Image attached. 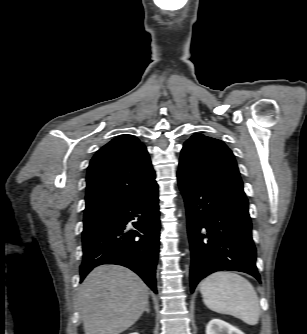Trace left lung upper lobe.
I'll return each mask as SVG.
<instances>
[{"instance_id": "left-lung-upper-lobe-1", "label": "left lung upper lobe", "mask_w": 307, "mask_h": 334, "mask_svg": "<svg viewBox=\"0 0 307 334\" xmlns=\"http://www.w3.org/2000/svg\"><path fill=\"white\" fill-rule=\"evenodd\" d=\"M178 172L243 189L232 151L221 140L203 134H194L184 143Z\"/></svg>"}]
</instances>
